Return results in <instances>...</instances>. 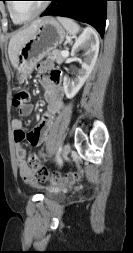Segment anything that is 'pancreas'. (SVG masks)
Returning a JSON list of instances; mask_svg holds the SVG:
<instances>
[{"mask_svg": "<svg viewBox=\"0 0 133 253\" xmlns=\"http://www.w3.org/2000/svg\"><path fill=\"white\" fill-rule=\"evenodd\" d=\"M47 59L51 61H56L57 63H62L66 57L61 54L58 50H53L47 54Z\"/></svg>", "mask_w": 133, "mask_h": 253, "instance_id": "pancreas-1", "label": "pancreas"}]
</instances>
